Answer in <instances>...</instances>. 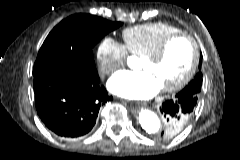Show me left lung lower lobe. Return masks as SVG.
<instances>
[{
  "mask_svg": "<svg viewBox=\"0 0 240 160\" xmlns=\"http://www.w3.org/2000/svg\"><path fill=\"white\" fill-rule=\"evenodd\" d=\"M198 100V94L193 92L192 88L183 89L175 99L168 100L160 108L166 118L168 128L171 132L183 128L186 124H178V120L185 115L192 114Z\"/></svg>",
  "mask_w": 240,
  "mask_h": 160,
  "instance_id": "left-lung-lower-lobe-1",
  "label": "left lung lower lobe"
}]
</instances>
